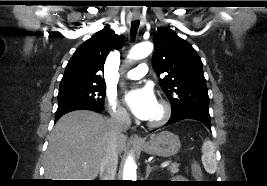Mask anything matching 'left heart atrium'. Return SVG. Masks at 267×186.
<instances>
[{
  "instance_id": "left-heart-atrium-1",
  "label": "left heart atrium",
  "mask_w": 267,
  "mask_h": 186,
  "mask_svg": "<svg viewBox=\"0 0 267 186\" xmlns=\"http://www.w3.org/2000/svg\"><path fill=\"white\" fill-rule=\"evenodd\" d=\"M131 112L141 120H148L158 102L153 91L149 88H138L129 91L124 97Z\"/></svg>"
}]
</instances>
